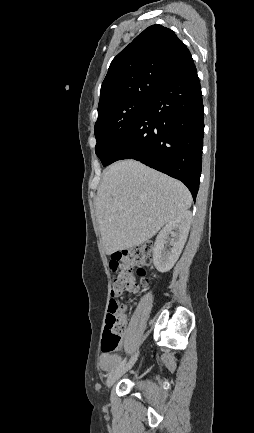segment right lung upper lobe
Wrapping results in <instances>:
<instances>
[{
  "instance_id": "obj_1",
  "label": "right lung upper lobe",
  "mask_w": 254,
  "mask_h": 433,
  "mask_svg": "<svg viewBox=\"0 0 254 433\" xmlns=\"http://www.w3.org/2000/svg\"><path fill=\"white\" fill-rule=\"evenodd\" d=\"M191 62L188 48L174 31L158 24L146 28L111 62L98 110L128 99H151Z\"/></svg>"
}]
</instances>
